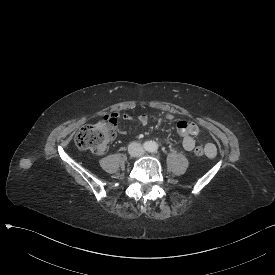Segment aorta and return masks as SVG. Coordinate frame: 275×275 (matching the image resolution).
<instances>
[{
    "instance_id": "aorta-1",
    "label": "aorta",
    "mask_w": 275,
    "mask_h": 275,
    "mask_svg": "<svg viewBox=\"0 0 275 275\" xmlns=\"http://www.w3.org/2000/svg\"><path fill=\"white\" fill-rule=\"evenodd\" d=\"M145 149L146 151L148 152H157L158 148H159V145L156 141H147L145 144Z\"/></svg>"
}]
</instances>
